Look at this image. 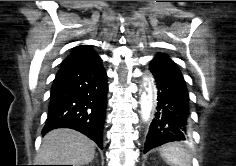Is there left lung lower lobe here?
<instances>
[{"mask_svg": "<svg viewBox=\"0 0 236 166\" xmlns=\"http://www.w3.org/2000/svg\"><path fill=\"white\" fill-rule=\"evenodd\" d=\"M155 79L157 105L150 124L144 153L168 142L184 141L190 136L189 94L177 65L159 54L150 62Z\"/></svg>", "mask_w": 236, "mask_h": 166, "instance_id": "obj_1", "label": "left lung lower lobe"}]
</instances>
